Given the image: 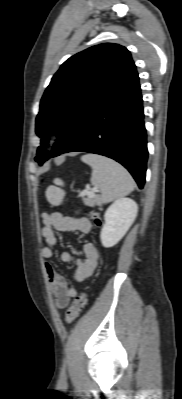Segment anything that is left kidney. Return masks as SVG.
<instances>
[{"instance_id": "5707ae66", "label": "left kidney", "mask_w": 182, "mask_h": 399, "mask_svg": "<svg viewBox=\"0 0 182 399\" xmlns=\"http://www.w3.org/2000/svg\"><path fill=\"white\" fill-rule=\"evenodd\" d=\"M138 205L130 198H119L111 204L104 214L105 224L100 239L105 248L115 246L133 224Z\"/></svg>"}]
</instances>
